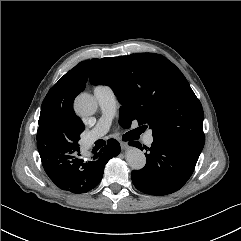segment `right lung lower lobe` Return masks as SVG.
<instances>
[{
    "mask_svg": "<svg viewBox=\"0 0 241 241\" xmlns=\"http://www.w3.org/2000/svg\"><path fill=\"white\" fill-rule=\"evenodd\" d=\"M42 165L49 178L62 190L75 194L86 193L96 187L103 177L106 163L120 153V144L110 139L108 144L94 153L91 161H84L77 148L61 146L52 150L38 148Z\"/></svg>",
    "mask_w": 241,
    "mask_h": 241,
    "instance_id": "obj_1",
    "label": "right lung lower lobe"
}]
</instances>
